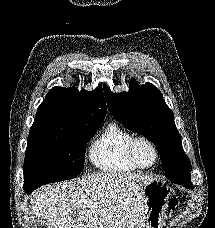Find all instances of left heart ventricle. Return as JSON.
Segmentation results:
<instances>
[{"label": "left heart ventricle", "mask_w": 215, "mask_h": 228, "mask_svg": "<svg viewBox=\"0 0 215 228\" xmlns=\"http://www.w3.org/2000/svg\"><path fill=\"white\" fill-rule=\"evenodd\" d=\"M136 158L142 166L147 167L153 164L154 153L147 144L140 143L136 148Z\"/></svg>", "instance_id": "b2bd125f"}]
</instances>
